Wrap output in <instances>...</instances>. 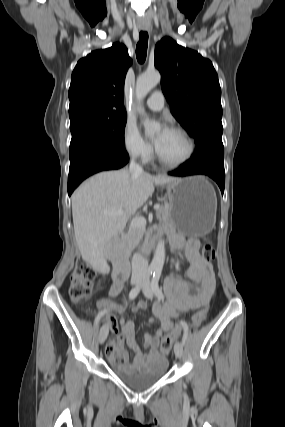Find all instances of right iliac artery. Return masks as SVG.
<instances>
[{
	"instance_id": "right-iliac-artery-1",
	"label": "right iliac artery",
	"mask_w": 285,
	"mask_h": 427,
	"mask_svg": "<svg viewBox=\"0 0 285 427\" xmlns=\"http://www.w3.org/2000/svg\"><path fill=\"white\" fill-rule=\"evenodd\" d=\"M154 272V268L153 267H149L147 270V277H149L150 275H152V273ZM142 287V284H138L137 286H135L129 293V299L132 300L134 299L140 292V289ZM101 315H98V319H100Z\"/></svg>"
}]
</instances>
